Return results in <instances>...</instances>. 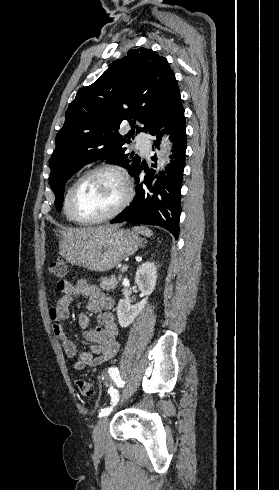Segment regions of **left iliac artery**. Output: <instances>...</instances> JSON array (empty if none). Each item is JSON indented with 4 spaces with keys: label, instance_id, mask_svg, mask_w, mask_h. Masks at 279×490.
Here are the masks:
<instances>
[{
    "label": "left iliac artery",
    "instance_id": "obj_1",
    "mask_svg": "<svg viewBox=\"0 0 279 490\" xmlns=\"http://www.w3.org/2000/svg\"><path fill=\"white\" fill-rule=\"evenodd\" d=\"M109 373H110V375H113V376H116V375L119 376V371H118L117 368H110L109 369ZM108 393L111 396V402H112L111 404H112V406L111 407L104 408V409H101V411L99 413V417H105V416L109 415L110 412L113 410V407L119 401V393H118V391L116 389H114L112 387V388H110L108 390Z\"/></svg>",
    "mask_w": 279,
    "mask_h": 490
}]
</instances>
